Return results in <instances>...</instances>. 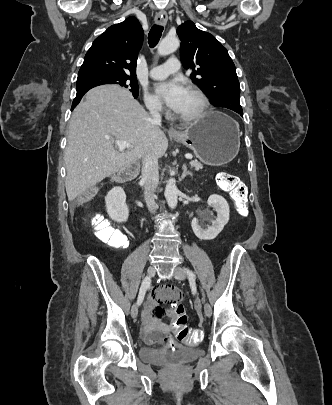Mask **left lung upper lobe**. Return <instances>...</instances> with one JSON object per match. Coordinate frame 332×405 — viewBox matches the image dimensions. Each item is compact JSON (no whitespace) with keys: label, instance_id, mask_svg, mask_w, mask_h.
<instances>
[{"label":"left lung upper lobe","instance_id":"1","mask_svg":"<svg viewBox=\"0 0 332 405\" xmlns=\"http://www.w3.org/2000/svg\"><path fill=\"white\" fill-rule=\"evenodd\" d=\"M177 34L181 40L180 59L185 69H192V81L210 97L214 106L239 109L240 86L227 49L192 21L181 24Z\"/></svg>","mask_w":332,"mask_h":405}]
</instances>
